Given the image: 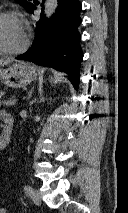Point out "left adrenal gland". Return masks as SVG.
Returning <instances> with one entry per match:
<instances>
[{
	"label": "left adrenal gland",
	"instance_id": "obj_1",
	"mask_svg": "<svg viewBox=\"0 0 128 213\" xmlns=\"http://www.w3.org/2000/svg\"><path fill=\"white\" fill-rule=\"evenodd\" d=\"M32 90L30 91V93H29V96H28V98L30 99V97H31V95H32Z\"/></svg>",
	"mask_w": 128,
	"mask_h": 213
}]
</instances>
